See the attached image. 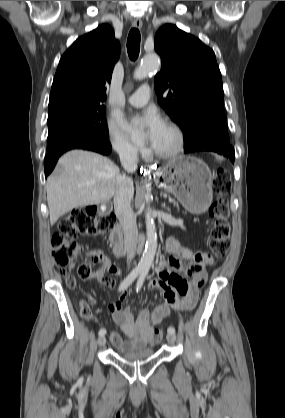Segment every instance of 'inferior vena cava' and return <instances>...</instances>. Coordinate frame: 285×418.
Here are the masks:
<instances>
[{
	"label": "inferior vena cava",
	"instance_id": "obj_1",
	"mask_svg": "<svg viewBox=\"0 0 285 418\" xmlns=\"http://www.w3.org/2000/svg\"><path fill=\"white\" fill-rule=\"evenodd\" d=\"M116 150L119 154L121 165L125 171H135L138 162L137 149L129 144H121L117 146ZM133 194L134 186L132 179L125 174L119 175L116 179L114 209L115 214L123 227L128 264H130L134 258L138 242L136 216L131 208Z\"/></svg>",
	"mask_w": 285,
	"mask_h": 418
}]
</instances>
